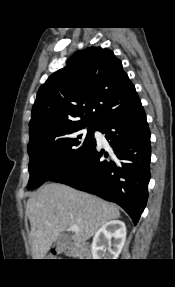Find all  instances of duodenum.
I'll return each instance as SVG.
<instances>
[{"instance_id": "duodenum-1", "label": "duodenum", "mask_w": 175, "mask_h": 287, "mask_svg": "<svg viewBox=\"0 0 175 287\" xmlns=\"http://www.w3.org/2000/svg\"><path fill=\"white\" fill-rule=\"evenodd\" d=\"M72 251H73L74 254H78V253L81 252V249H80L79 247H77V246H74V247L72 248Z\"/></svg>"}]
</instances>
